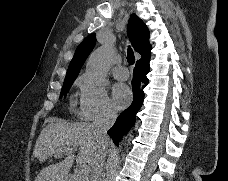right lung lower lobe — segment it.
Returning <instances> with one entry per match:
<instances>
[{"mask_svg":"<svg viewBox=\"0 0 228 181\" xmlns=\"http://www.w3.org/2000/svg\"><path fill=\"white\" fill-rule=\"evenodd\" d=\"M150 55L141 58L136 62V66L133 71L132 89H133V102L124 110L117 118L115 124L108 130L109 136L113 139L114 143L118 145L123 135L126 134L130 128L134 125L136 120V114L140 110L144 92L143 88L147 85L148 79L146 74L149 72Z\"/></svg>","mask_w":228,"mask_h":181,"instance_id":"1","label":"right lung lower lobe"}]
</instances>
